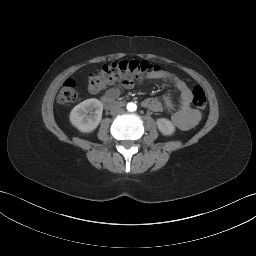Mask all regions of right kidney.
<instances>
[{
  "label": "right kidney",
  "mask_w": 256,
  "mask_h": 256,
  "mask_svg": "<svg viewBox=\"0 0 256 256\" xmlns=\"http://www.w3.org/2000/svg\"><path fill=\"white\" fill-rule=\"evenodd\" d=\"M103 112V104L95 99H87L76 105L70 112V122L79 131L90 133L97 128Z\"/></svg>",
  "instance_id": "1"
}]
</instances>
